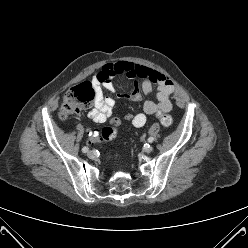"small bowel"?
<instances>
[{"label":"small bowel","mask_w":248,"mask_h":248,"mask_svg":"<svg viewBox=\"0 0 248 248\" xmlns=\"http://www.w3.org/2000/svg\"><path fill=\"white\" fill-rule=\"evenodd\" d=\"M117 76L135 79L133 91L128 96L130 101L142 100L143 95H151L154 86L157 87V102L147 99L143 104V112L134 115V121L131 122L133 126H144L147 121V115L155 116L171 110L170 97L175 90V83L168 75L135 63L110 62L103 65L93 77V85L96 88L97 95L94 107L88 113V117L92 121L104 123L110 117L114 100L110 97H105L102 93V88L116 92L113 80Z\"/></svg>","instance_id":"obj_1"}]
</instances>
